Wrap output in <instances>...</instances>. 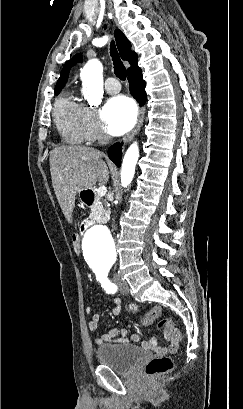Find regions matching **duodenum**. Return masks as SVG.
<instances>
[{
	"instance_id": "1",
	"label": "duodenum",
	"mask_w": 243,
	"mask_h": 409,
	"mask_svg": "<svg viewBox=\"0 0 243 409\" xmlns=\"http://www.w3.org/2000/svg\"><path fill=\"white\" fill-rule=\"evenodd\" d=\"M82 200L85 205L91 207L95 204L96 202V195L93 190L89 189L86 190L83 195H82ZM90 223L89 222H84L82 224L81 230L84 231L89 227Z\"/></svg>"
}]
</instances>
